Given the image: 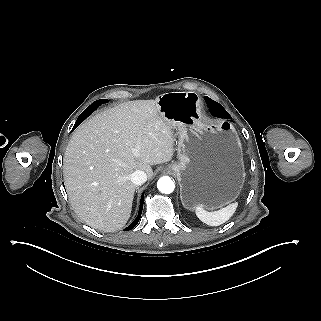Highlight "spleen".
Masks as SVG:
<instances>
[{"label":"spleen","instance_id":"3e777b00","mask_svg":"<svg viewBox=\"0 0 321 321\" xmlns=\"http://www.w3.org/2000/svg\"><path fill=\"white\" fill-rule=\"evenodd\" d=\"M237 208V203H232L227 207L218 210L216 212L205 211L200 206L196 207L197 217L205 224L209 226H218L226 222L235 212Z\"/></svg>","mask_w":321,"mask_h":321}]
</instances>
